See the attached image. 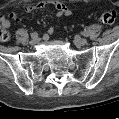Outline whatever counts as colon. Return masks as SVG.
Instances as JSON below:
<instances>
[{"label": "colon", "mask_w": 119, "mask_h": 119, "mask_svg": "<svg viewBox=\"0 0 119 119\" xmlns=\"http://www.w3.org/2000/svg\"><path fill=\"white\" fill-rule=\"evenodd\" d=\"M116 20V12L115 11H106L100 16V21L107 26H111L114 24ZM9 39V33L6 29H1L0 31V40L7 41Z\"/></svg>", "instance_id": "5ec220e1"}]
</instances>
